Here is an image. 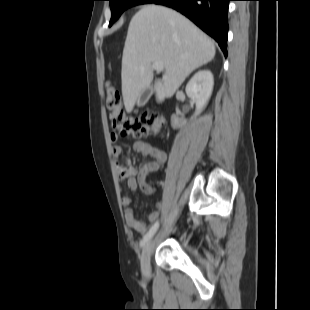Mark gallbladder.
I'll use <instances>...</instances> for the list:
<instances>
[{
	"instance_id": "bac80fb5",
	"label": "gallbladder",
	"mask_w": 310,
	"mask_h": 310,
	"mask_svg": "<svg viewBox=\"0 0 310 310\" xmlns=\"http://www.w3.org/2000/svg\"><path fill=\"white\" fill-rule=\"evenodd\" d=\"M153 92H154V86L153 85H150L148 88H146L144 91H142L138 97L137 106L138 107L145 106L146 103L149 101Z\"/></svg>"
}]
</instances>
